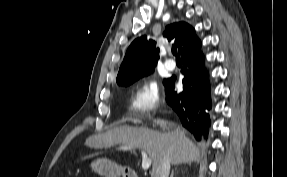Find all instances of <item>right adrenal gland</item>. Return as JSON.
I'll return each mask as SVG.
<instances>
[{
    "label": "right adrenal gland",
    "instance_id": "obj_1",
    "mask_svg": "<svg viewBox=\"0 0 287 177\" xmlns=\"http://www.w3.org/2000/svg\"><path fill=\"white\" fill-rule=\"evenodd\" d=\"M170 177H174V170H172Z\"/></svg>",
    "mask_w": 287,
    "mask_h": 177
}]
</instances>
